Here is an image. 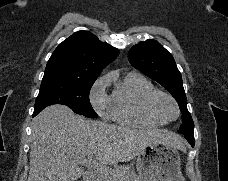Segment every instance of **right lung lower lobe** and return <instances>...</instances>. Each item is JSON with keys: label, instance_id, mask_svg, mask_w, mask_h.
I'll return each instance as SVG.
<instances>
[{"label": "right lung lower lobe", "instance_id": "right-lung-lower-lobe-1", "mask_svg": "<svg viewBox=\"0 0 228 181\" xmlns=\"http://www.w3.org/2000/svg\"><path fill=\"white\" fill-rule=\"evenodd\" d=\"M38 113H39V112H34V113H33V117L36 116Z\"/></svg>", "mask_w": 228, "mask_h": 181}]
</instances>
